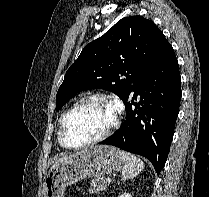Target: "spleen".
<instances>
[{"instance_id": "1", "label": "spleen", "mask_w": 209, "mask_h": 197, "mask_svg": "<svg viewBox=\"0 0 209 197\" xmlns=\"http://www.w3.org/2000/svg\"><path fill=\"white\" fill-rule=\"evenodd\" d=\"M121 156L124 161L122 169L123 180H129L136 177L144 169L143 161L137 158V156L124 151H121Z\"/></svg>"}]
</instances>
